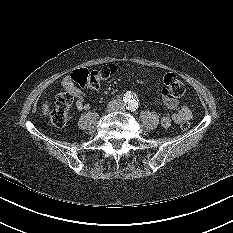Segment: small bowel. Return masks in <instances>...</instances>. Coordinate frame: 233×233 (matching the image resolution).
<instances>
[{"instance_id":"obj_1","label":"small bowel","mask_w":233,"mask_h":233,"mask_svg":"<svg viewBox=\"0 0 233 233\" xmlns=\"http://www.w3.org/2000/svg\"><path fill=\"white\" fill-rule=\"evenodd\" d=\"M62 86L75 99V106L78 110L90 108V104L86 101V93L76 87L70 77H65L62 80ZM162 97L167 108L175 111L171 116L166 115L161 118V125L164 128H169L173 124L180 125L192 118V111L188 106H180L178 100L165 93L164 90L162 91Z\"/></svg>"}]
</instances>
